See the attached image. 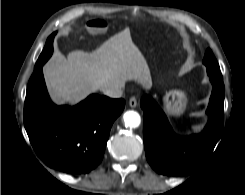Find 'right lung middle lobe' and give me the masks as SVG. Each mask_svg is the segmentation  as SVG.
<instances>
[{
  "label": "right lung middle lobe",
  "mask_w": 245,
  "mask_h": 195,
  "mask_svg": "<svg viewBox=\"0 0 245 195\" xmlns=\"http://www.w3.org/2000/svg\"><path fill=\"white\" fill-rule=\"evenodd\" d=\"M53 44V42H52ZM52 44H48V42H46V45L41 53V55L39 56L36 65H35V69H37L40 66H43V64L50 58V56L52 55L53 52V45Z\"/></svg>",
  "instance_id": "obj_1"
}]
</instances>
